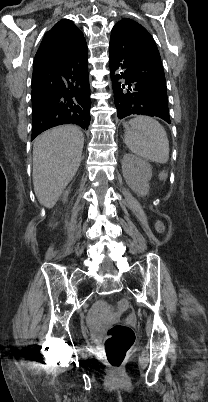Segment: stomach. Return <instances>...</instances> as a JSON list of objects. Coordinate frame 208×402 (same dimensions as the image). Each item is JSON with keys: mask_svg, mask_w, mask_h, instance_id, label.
Segmentation results:
<instances>
[{"mask_svg": "<svg viewBox=\"0 0 208 402\" xmlns=\"http://www.w3.org/2000/svg\"><path fill=\"white\" fill-rule=\"evenodd\" d=\"M124 128H126V130H129V126H127V124H124Z\"/></svg>", "mask_w": 208, "mask_h": 402, "instance_id": "1", "label": "stomach"}]
</instances>
